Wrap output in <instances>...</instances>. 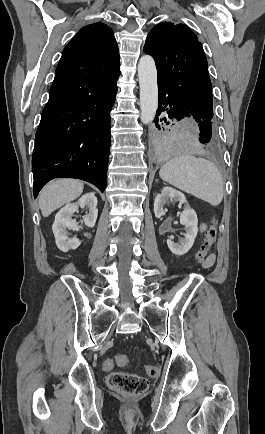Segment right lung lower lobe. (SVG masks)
I'll return each mask as SVG.
<instances>
[{"instance_id": "obj_1", "label": "right lung lower lobe", "mask_w": 265, "mask_h": 434, "mask_svg": "<svg viewBox=\"0 0 265 434\" xmlns=\"http://www.w3.org/2000/svg\"><path fill=\"white\" fill-rule=\"evenodd\" d=\"M119 75V53L62 55L35 136V198L58 177L82 179L105 190L110 111Z\"/></svg>"}]
</instances>
